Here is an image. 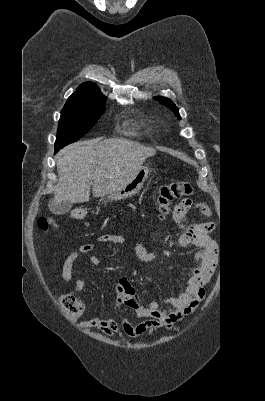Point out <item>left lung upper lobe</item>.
<instances>
[{"mask_svg": "<svg viewBox=\"0 0 265 401\" xmlns=\"http://www.w3.org/2000/svg\"><path fill=\"white\" fill-rule=\"evenodd\" d=\"M154 99L159 101L161 104H164L165 106L169 107L175 113V115H177L178 118L180 119L178 108L170 99L165 97H154Z\"/></svg>", "mask_w": 265, "mask_h": 401, "instance_id": "1", "label": "left lung upper lobe"}]
</instances>
